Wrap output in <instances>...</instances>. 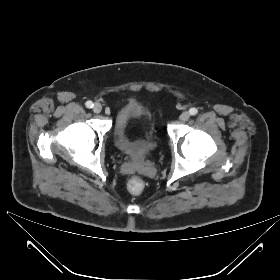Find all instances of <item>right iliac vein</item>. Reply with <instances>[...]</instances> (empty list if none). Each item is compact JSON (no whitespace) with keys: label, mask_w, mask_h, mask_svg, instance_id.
<instances>
[{"label":"right iliac vein","mask_w":280,"mask_h":280,"mask_svg":"<svg viewBox=\"0 0 280 280\" xmlns=\"http://www.w3.org/2000/svg\"><path fill=\"white\" fill-rule=\"evenodd\" d=\"M95 113H100L102 111V105L100 103H95L93 107Z\"/></svg>","instance_id":"obj_1"}]
</instances>
